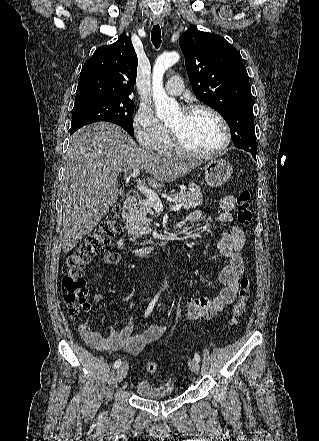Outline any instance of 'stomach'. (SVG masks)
<instances>
[{
	"mask_svg": "<svg viewBox=\"0 0 319 441\" xmlns=\"http://www.w3.org/2000/svg\"><path fill=\"white\" fill-rule=\"evenodd\" d=\"M205 181L210 187H218L226 183L232 173V167L223 159H211L204 167Z\"/></svg>",
	"mask_w": 319,
	"mask_h": 441,
	"instance_id": "0dacf381",
	"label": "stomach"
}]
</instances>
